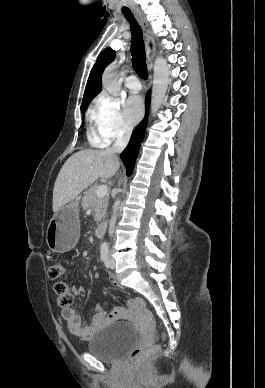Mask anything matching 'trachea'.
Instances as JSON below:
<instances>
[{"mask_svg": "<svg viewBox=\"0 0 265 388\" xmlns=\"http://www.w3.org/2000/svg\"><path fill=\"white\" fill-rule=\"evenodd\" d=\"M122 13L127 18L131 27L132 65L134 67V70L140 75V77L146 79L148 77V74L141 27L139 23L136 22V19L134 18L130 10H122Z\"/></svg>", "mask_w": 265, "mask_h": 388, "instance_id": "obj_1", "label": "trachea"}]
</instances>
